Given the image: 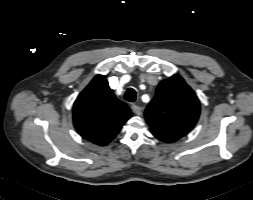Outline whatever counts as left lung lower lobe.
<instances>
[{"instance_id":"0a47b994","label":"left lung lower lobe","mask_w":253,"mask_h":200,"mask_svg":"<svg viewBox=\"0 0 253 200\" xmlns=\"http://www.w3.org/2000/svg\"><path fill=\"white\" fill-rule=\"evenodd\" d=\"M154 136H156L158 139H160L163 142L171 143L174 142L180 137L174 136V135H168V134H161V133H153Z\"/></svg>"}]
</instances>
